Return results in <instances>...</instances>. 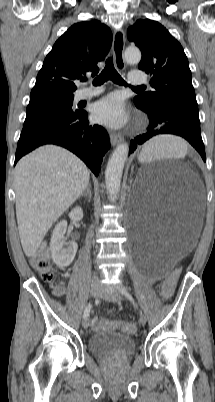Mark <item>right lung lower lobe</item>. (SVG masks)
I'll list each match as a JSON object with an SVG mask.
<instances>
[{"instance_id": "1", "label": "right lung lower lobe", "mask_w": 215, "mask_h": 402, "mask_svg": "<svg viewBox=\"0 0 215 402\" xmlns=\"http://www.w3.org/2000/svg\"><path fill=\"white\" fill-rule=\"evenodd\" d=\"M44 144H56L67 148L81 158L98 176L103 156L110 147V140L103 127L89 124L87 113L78 111L75 116L18 142L15 164L22 156Z\"/></svg>"}]
</instances>
